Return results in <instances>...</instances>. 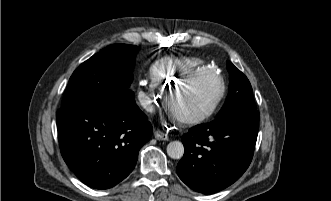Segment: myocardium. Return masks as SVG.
Listing matches in <instances>:
<instances>
[{"label": "myocardium", "mask_w": 331, "mask_h": 201, "mask_svg": "<svg viewBox=\"0 0 331 201\" xmlns=\"http://www.w3.org/2000/svg\"><path fill=\"white\" fill-rule=\"evenodd\" d=\"M205 71H208V72H205ZM206 74H212L213 76H215L216 80L218 81L219 89H218L217 94L214 96V98L211 100V102L206 107H204L202 110H200L199 112L192 114V115H187V116L177 114L174 111L173 106H172V97H173L174 91L186 86L190 82H192L195 79L200 78L201 76L206 75ZM225 91H226V86H225V82H224V79L222 78V76L217 74L214 70L204 67L195 72H192L184 81L170 86L166 93V104H167L169 110L175 114L176 118L180 122H182L184 124H194V123L203 121L204 119L208 118L215 112V110L217 109L218 105L220 104V102L222 101V99L224 97Z\"/></svg>", "instance_id": "1"}]
</instances>
